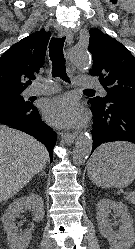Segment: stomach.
<instances>
[{
  "label": "stomach",
  "instance_id": "0dacf381",
  "mask_svg": "<svg viewBox=\"0 0 135 249\" xmlns=\"http://www.w3.org/2000/svg\"><path fill=\"white\" fill-rule=\"evenodd\" d=\"M114 143L101 146L88 163V175L97 185L121 188L135 179V155L117 151Z\"/></svg>",
  "mask_w": 135,
  "mask_h": 249
}]
</instances>
